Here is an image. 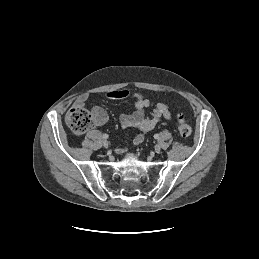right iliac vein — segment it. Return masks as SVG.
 I'll use <instances>...</instances> for the list:
<instances>
[{"instance_id": "63e3f726", "label": "right iliac vein", "mask_w": 259, "mask_h": 259, "mask_svg": "<svg viewBox=\"0 0 259 259\" xmlns=\"http://www.w3.org/2000/svg\"><path fill=\"white\" fill-rule=\"evenodd\" d=\"M103 146L105 148H108L109 147V142L107 140H103Z\"/></svg>"}]
</instances>
